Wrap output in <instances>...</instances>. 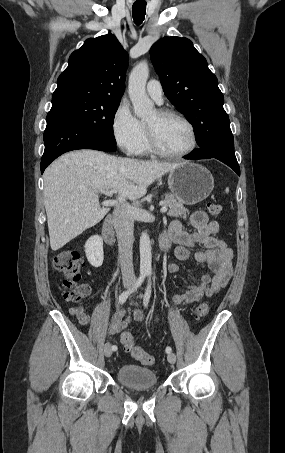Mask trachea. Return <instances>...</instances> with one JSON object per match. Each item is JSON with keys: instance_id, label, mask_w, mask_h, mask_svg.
I'll list each match as a JSON object with an SVG mask.
<instances>
[{"instance_id": "3493384b", "label": "trachea", "mask_w": 285, "mask_h": 453, "mask_svg": "<svg viewBox=\"0 0 285 453\" xmlns=\"http://www.w3.org/2000/svg\"><path fill=\"white\" fill-rule=\"evenodd\" d=\"M133 19L136 25H140L146 14V2L143 0L136 1L132 6Z\"/></svg>"}]
</instances>
